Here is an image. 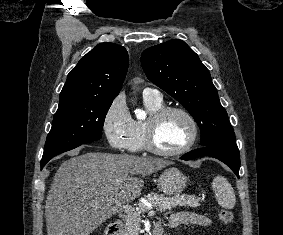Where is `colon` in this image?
<instances>
[{"instance_id":"obj_1","label":"colon","mask_w":283,"mask_h":235,"mask_svg":"<svg viewBox=\"0 0 283 235\" xmlns=\"http://www.w3.org/2000/svg\"><path fill=\"white\" fill-rule=\"evenodd\" d=\"M218 218L223 224H229L233 220V214L227 209H220L218 212Z\"/></svg>"}]
</instances>
